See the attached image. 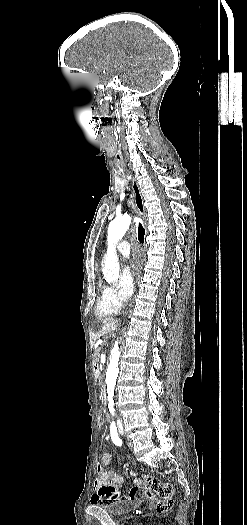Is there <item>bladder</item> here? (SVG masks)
I'll use <instances>...</instances> for the list:
<instances>
[{
    "instance_id": "bladder-1",
    "label": "bladder",
    "mask_w": 247,
    "mask_h": 525,
    "mask_svg": "<svg viewBox=\"0 0 247 525\" xmlns=\"http://www.w3.org/2000/svg\"><path fill=\"white\" fill-rule=\"evenodd\" d=\"M141 502L133 505L126 499H119L112 502H98L96 503L97 507L104 510L110 516H117L122 514H129L135 511Z\"/></svg>"
}]
</instances>
